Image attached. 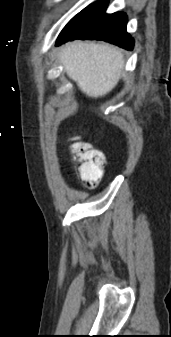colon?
I'll return each instance as SVG.
<instances>
[{"label": "colon", "instance_id": "colon-1", "mask_svg": "<svg viewBox=\"0 0 171 337\" xmlns=\"http://www.w3.org/2000/svg\"><path fill=\"white\" fill-rule=\"evenodd\" d=\"M68 150L78 176L90 187L97 186L104 174V153L83 141L80 136L72 137Z\"/></svg>", "mask_w": 171, "mask_h": 337}]
</instances>
